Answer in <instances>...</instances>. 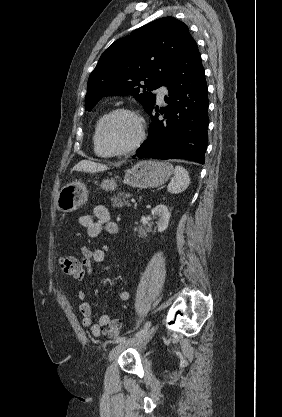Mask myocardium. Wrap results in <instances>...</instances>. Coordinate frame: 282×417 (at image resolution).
Instances as JSON below:
<instances>
[{"instance_id":"myocardium-1","label":"myocardium","mask_w":282,"mask_h":417,"mask_svg":"<svg viewBox=\"0 0 282 417\" xmlns=\"http://www.w3.org/2000/svg\"><path fill=\"white\" fill-rule=\"evenodd\" d=\"M119 116H128L132 119H134L137 123V127H138V133L136 138L123 146H119V147H113L108 143L107 140V131H108V127L110 125V123ZM146 136V130H145V121L144 119L136 112L128 110V109H116L114 111H112L111 113H109L102 121L101 125H100V131H99V143L100 146L102 147V149L107 153V154H120V153H124L130 150L135 149L136 147H138L145 139Z\"/></svg>"}]
</instances>
